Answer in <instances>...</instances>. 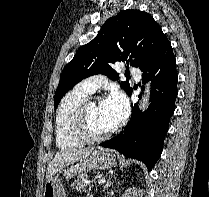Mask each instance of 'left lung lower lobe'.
Instances as JSON below:
<instances>
[{
  "label": "left lung lower lobe",
  "mask_w": 209,
  "mask_h": 197,
  "mask_svg": "<svg viewBox=\"0 0 209 197\" xmlns=\"http://www.w3.org/2000/svg\"><path fill=\"white\" fill-rule=\"evenodd\" d=\"M143 81L152 80L151 104L140 113L132 107L131 120L116 137L100 144L129 158L142 161L150 171L161 156L169 120L177 97L176 60L170 42L165 40L152 58L140 67ZM132 90L128 95H131Z\"/></svg>",
  "instance_id": "obj_1"
}]
</instances>
